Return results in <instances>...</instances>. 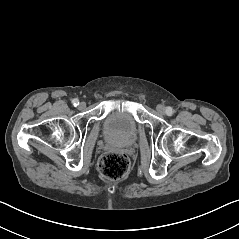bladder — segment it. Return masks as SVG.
<instances>
[{
    "label": "bladder",
    "instance_id": "bladder-1",
    "mask_svg": "<svg viewBox=\"0 0 239 239\" xmlns=\"http://www.w3.org/2000/svg\"><path fill=\"white\" fill-rule=\"evenodd\" d=\"M103 133L112 142L131 145L137 139L138 125L131 113L123 109H116L110 111L105 117Z\"/></svg>",
    "mask_w": 239,
    "mask_h": 239
}]
</instances>
